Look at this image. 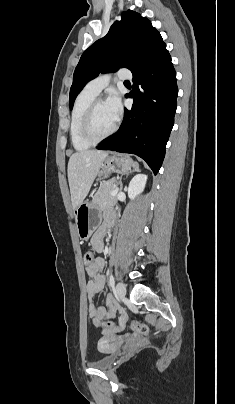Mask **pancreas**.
<instances>
[{"label": "pancreas", "mask_w": 235, "mask_h": 404, "mask_svg": "<svg viewBox=\"0 0 235 404\" xmlns=\"http://www.w3.org/2000/svg\"><path fill=\"white\" fill-rule=\"evenodd\" d=\"M119 184L120 181L116 179L102 182L97 193L93 197V203L101 208H106L115 204L117 202V197L111 196L110 193L115 190Z\"/></svg>", "instance_id": "pancreas-1"}]
</instances>
